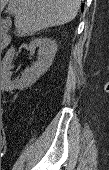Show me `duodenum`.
Wrapping results in <instances>:
<instances>
[{"label":"duodenum","instance_id":"1","mask_svg":"<svg viewBox=\"0 0 109 170\" xmlns=\"http://www.w3.org/2000/svg\"><path fill=\"white\" fill-rule=\"evenodd\" d=\"M10 38L7 34L4 35L3 37V44L2 47H6L9 44Z\"/></svg>","mask_w":109,"mask_h":170}]
</instances>
